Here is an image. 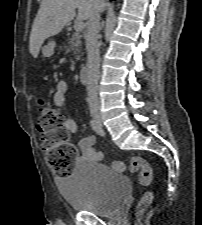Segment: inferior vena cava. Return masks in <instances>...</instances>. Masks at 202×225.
Here are the masks:
<instances>
[{
  "mask_svg": "<svg viewBox=\"0 0 202 225\" xmlns=\"http://www.w3.org/2000/svg\"><path fill=\"white\" fill-rule=\"evenodd\" d=\"M101 11V8H97L89 18L86 35V50L88 58L87 101L91 109H99L98 82L100 74V55L98 33Z\"/></svg>",
  "mask_w": 202,
  "mask_h": 225,
  "instance_id": "1",
  "label": "inferior vena cava"
}]
</instances>
